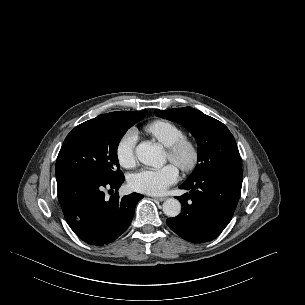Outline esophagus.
Returning a JSON list of instances; mask_svg holds the SVG:
<instances>
[{
  "label": "esophagus",
  "instance_id": "esophagus-1",
  "mask_svg": "<svg viewBox=\"0 0 305 305\" xmlns=\"http://www.w3.org/2000/svg\"><path fill=\"white\" fill-rule=\"evenodd\" d=\"M154 199L158 201H165L167 197H154Z\"/></svg>",
  "mask_w": 305,
  "mask_h": 305
}]
</instances>
